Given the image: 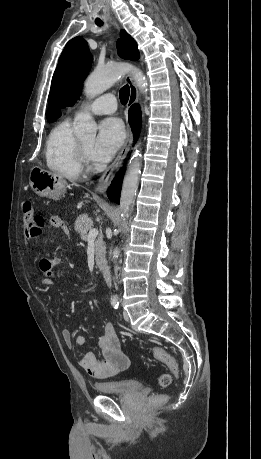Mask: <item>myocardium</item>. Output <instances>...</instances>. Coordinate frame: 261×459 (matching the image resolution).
I'll return each mask as SVG.
<instances>
[{
    "instance_id": "obj_1",
    "label": "myocardium",
    "mask_w": 261,
    "mask_h": 459,
    "mask_svg": "<svg viewBox=\"0 0 261 459\" xmlns=\"http://www.w3.org/2000/svg\"><path fill=\"white\" fill-rule=\"evenodd\" d=\"M77 153L81 165H87L90 161V154L86 151V149L79 140H77Z\"/></svg>"
}]
</instances>
